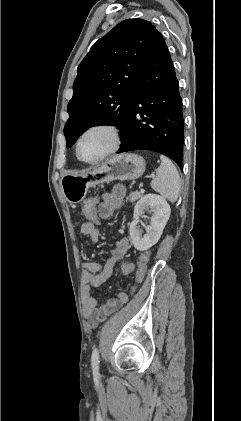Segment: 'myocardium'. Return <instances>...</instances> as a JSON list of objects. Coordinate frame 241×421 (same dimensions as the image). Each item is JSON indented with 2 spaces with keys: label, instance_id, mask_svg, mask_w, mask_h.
<instances>
[{
  "label": "myocardium",
  "instance_id": "myocardium-1",
  "mask_svg": "<svg viewBox=\"0 0 241 421\" xmlns=\"http://www.w3.org/2000/svg\"><path fill=\"white\" fill-rule=\"evenodd\" d=\"M98 130L105 131L110 135L111 144L109 148L96 159L85 160L80 156V152H79L80 143L87 134L93 131H98ZM121 142H122V136H121V130L119 129V127L110 123H97V124L87 127L80 134L75 144V153H76L77 158L81 162L86 163V164H97L103 161L104 159H106L107 157H109L110 155L114 154L116 151H118V149L120 148Z\"/></svg>",
  "mask_w": 241,
  "mask_h": 421
}]
</instances>
